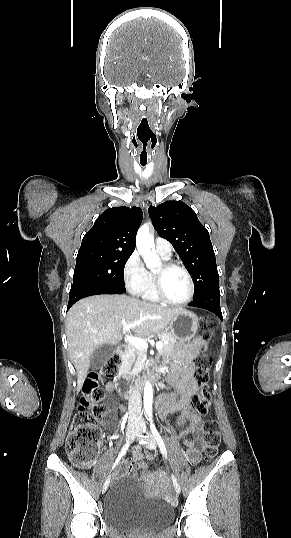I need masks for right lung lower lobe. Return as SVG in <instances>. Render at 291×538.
<instances>
[{"mask_svg":"<svg viewBox=\"0 0 291 538\" xmlns=\"http://www.w3.org/2000/svg\"><path fill=\"white\" fill-rule=\"evenodd\" d=\"M99 294H124V293L120 291L105 290V289H102V290L101 289H85L81 291H76L69 295V302H68L67 310L78 300L84 297H88L92 295H99Z\"/></svg>","mask_w":291,"mask_h":538,"instance_id":"obj_1","label":"right lung lower lobe"}]
</instances>
